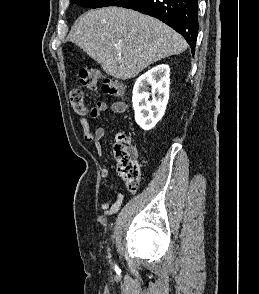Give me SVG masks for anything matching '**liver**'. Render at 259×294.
Listing matches in <instances>:
<instances>
[{
	"instance_id": "obj_1",
	"label": "liver",
	"mask_w": 259,
	"mask_h": 294,
	"mask_svg": "<svg viewBox=\"0 0 259 294\" xmlns=\"http://www.w3.org/2000/svg\"><path fill=\"white\" fill-rule=\"evenodd\" d=\"M68 40L83 49L108 75L126 80L187 48L185 39L163 22L119 7L90 10L71 28Z\"/></svg>"
}]
</instances>
